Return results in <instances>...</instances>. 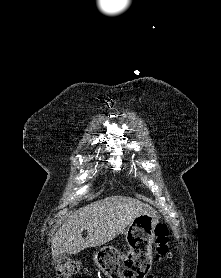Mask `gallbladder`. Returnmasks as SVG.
Masks as SVG:
<instances>
[{
  "label": "gallbladder",
  "mask_w": 221,
  "mask_h": 278,
  "mask_svg": "<svg viewBox=\"0 0 221 278\" xmlns=\"http://www.w3.org/2000/svg\"><path fill=\"white\" fill-rule=\"evenodd\" d=\"M67 259H68L67 254H60L54 258V263L59 265V264L63 263L64 261H66Z\"/></svg>",
  "instance_id": "1"
}]
</instances>
